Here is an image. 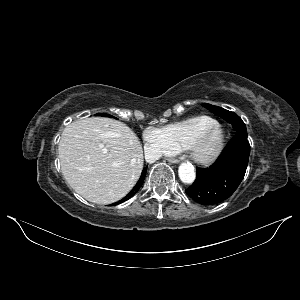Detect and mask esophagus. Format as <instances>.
Here are the masks:
<instances>
[{
	"instance_id": "obj_1",
	"label": "esophagus",
	"mask_w": 300,
	"mask_h": 300,
	"mask_svg": "<svg viewBox=\"0 0 300 300\" xmlns=\"http://www.w3.org/2000/svg\"><path fill=\"white\" fill-rule=\"evenodd\" d=\"M170 163H174V164H177L179 163V160L178 159H175V158H171L168 160Z\"/></svg>"
}]
</instances>
